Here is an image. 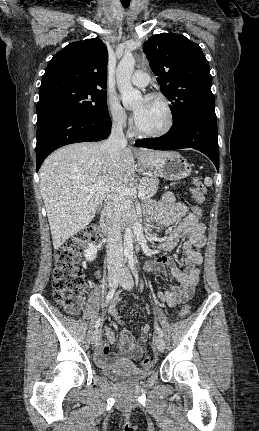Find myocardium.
Wrapping results in <instances>:
<instances>
[{"label":"myocardium","mask_w":259,"mask_h":431,"mask_svg":"<svg viewBox=\"0 0 259 431\" xmlns=\"http://www.w3.org/2000/svg\"><path fill=\"white\" fill-rule=\"evenodd\" d=\"M146 98L147 99H155V100H158L161 102V104L163 105L165 112H166L165 125L158 131L146 132V131H143L139 128V126L135 120L134 124H133V130L138 136L144 137V138H159V137L165 136L172 129V126L174 123V115H173L171 103H170L169 99L164 94L159 93V92H152V93L148 94Z\"/></svg>","instance_id":"obj_1"}]
</instances>
